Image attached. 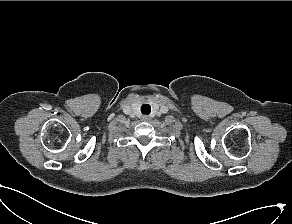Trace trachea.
I'll return each instance as SVG.
<instances>
[{"label": "trachea", "instance_id": "3493384b", "mask_svg": "<svg viewBox=\"0 0 292 224\" xmlns=\"http://www.w3.org/2000/svg\"><path fill=\"white\" fill-rule=\"evenodd\" d=\"M141 112H142V114H146V115L150 114L151 106L149 104H143L141 106Z\"/></svg>", "mask_w": 292, "mask_h": 224}]
</instances>
